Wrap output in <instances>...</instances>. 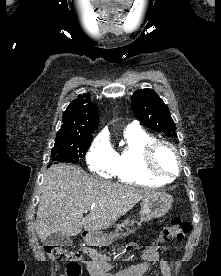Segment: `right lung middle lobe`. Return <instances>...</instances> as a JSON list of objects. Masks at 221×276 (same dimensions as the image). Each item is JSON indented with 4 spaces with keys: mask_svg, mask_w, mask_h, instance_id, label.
<instances>
[{
    "mask_svg": "<svg viewBox=\"0 0 221 276\" xmlns=\"http://www.w3.org/2000/svg\"><path fill=\"white\" fill-rule=\"evenodd\" d=\"M92 138H79L55 141L52 149V160L56 163H77L87 152Z\"/></svg>",
    "mask_w": 221,
    "mask_h": 276,
    "instance_id": "obj_1",
    "label": "right lung middle lobe"
}]
</instances>
